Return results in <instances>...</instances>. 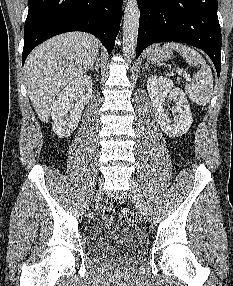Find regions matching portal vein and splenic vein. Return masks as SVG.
<instances>
[{
  "label": "portal vein and splenic vein",
  "instance_id": "18ae733b",
  "mask_svg": "<svg viewBox=\"0 0 233 286\" xmlns=\"http://www.w3.org/2000/svg\"><path fill=\"white\" fill-rule=\"evenodd\" d=\"M177 73L180 75L182 73V71L177 70ZM183 77L187 80V81H191L189 75H187L186 73L183 74Z\"/></svg>",
  "mask_w": 233,
  "mask_h": 286
}]
</instances>
